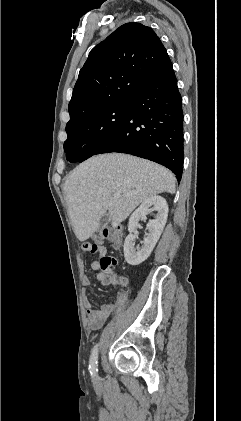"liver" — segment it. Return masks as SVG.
I'll use <instances>...</instances> for the list:
<instances>
[{"label":"liver","mask_w":241,"mask_h":421,"mask_svg":"<svg viewBox=\"0 0 241 421\" xmlns=\"http://www.w3.org/2000/svg\"><path fill=\"white\" fill-rule=\"evenodd\" d=\"M175 177L168 169L135 156L110 153L78 165L64 185L68 213L78 240L85 241L106 214L112 226L124 221L146 199L175 193ZM114 193H120L118 198Z\"/></svg>","instance_id":"liver-1"}]
</instances>
